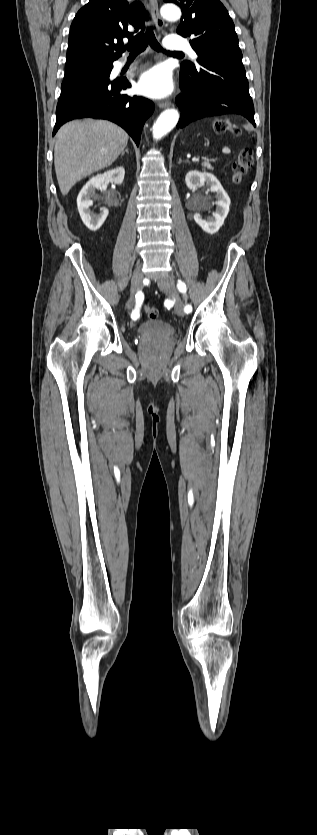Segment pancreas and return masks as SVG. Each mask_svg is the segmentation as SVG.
<instances>
[{
  "label": "pancreas",
  "mask_w": 317,
  "mask_h": 835,
  "mask_svg": "<svg viewBox=\"0 0 317 835\" xmlns=\"http://www.w3.org/2000/svg\"><path fill=\"white\" fill-rule=\"evenodd\" d=\"M202 166H203V167H205V168H208V169H212V166H211V164L209 163V160H205V161L202 163Z\"/></svg>",
  "instance_id": "pancreas-1"
}]
</instances>
